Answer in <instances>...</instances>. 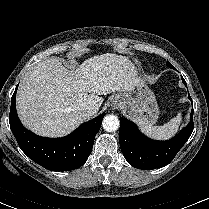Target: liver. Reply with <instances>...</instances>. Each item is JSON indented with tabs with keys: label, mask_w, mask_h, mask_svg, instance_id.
Returning a JSON list of instances; mask_svg holds the SVG:
<instances>
[{
	"label": "liver",
	"mask_w": 209,
	"mask_h": 209,
	"mask_svg": "<svg viewBox=\"0 0 209 209\" xmlns=\"http://www.w3.org/2000/svg\"><path fill=\"white\" fill-rule=\"evenodd\" d=\"M140 81L133 64L122 55L93 56L75 71L52 57L26 73L17 91L16 108L27 129L44 137H62L91 117L85 113L87 106L98 112L104 101L101 95L127 92Z\"/></svg>",
	"instance_id": "obj_1"
}]
</instances>
